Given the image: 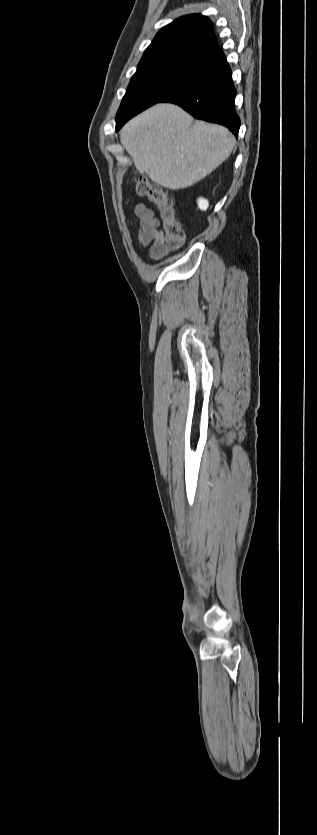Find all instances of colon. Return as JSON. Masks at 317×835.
Returning <instances> with one entry per match:
<instances>
[{"instance_id":"5ec220e1","label":"colon","mask_w":317,"mask_h":835,"mask_svg":"<svg viewBox=\"0 0 317 835\" xmlns=\"http://www.w3.org/2000/svg\"><path fill=\"white\" fill-rule=\"evenodd\" d=\"M136 193L153 203L163 223V235L158 245V251L162 254L178 249L184 241V231L177 218L176 208L167 192L158 186L151 184L146 178L135 180Z\"/></svg>"}]
</instances>
